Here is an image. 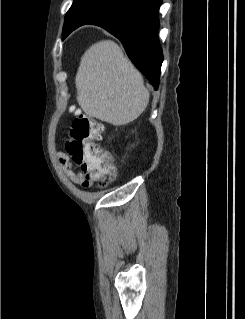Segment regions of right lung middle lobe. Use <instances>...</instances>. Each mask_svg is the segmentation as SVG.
<instances>
[{"mask_svg": "<svg viewBox=\"0 0 245 319\" xmlns=\"http://www.w3.org/2000/svg\"><path fill=\"white\" fill-rule=\"evenodd\" d=\"M127 1L129 0H83L80 4L81 8L86 11L88 15L96 19L108 12L117 9L118 7L125 4ZM74 20L75 18L66 21L64 23L63 30L67 25L72 24Z\"/></svg>", "mask_w": 245, "mask_h": 319, "instance_id": "dd1d6c3e", "label": "right lung middle lobe"}]
</instances>
